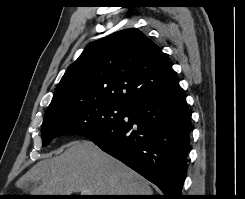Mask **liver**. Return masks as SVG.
Returning <instances> with one entry per match:
<instances>
[{"label": "liver", "instance_id": "1", "mask_svg": "<svg viewBox=\"0 0 245 199\" xmlns=\"http://www.w3.org/2000/svg\"><path fill=\"white\" fill-rule=\"evenodd\" d=\"M29 183H34L28 187ZM16 186L31 195H152L148 182L89 140L73 141L59 156L34 165ZM85 195V194H82Z\"/></svg>", "mask_w": 245, "mask_h": 199}]
</instances>
